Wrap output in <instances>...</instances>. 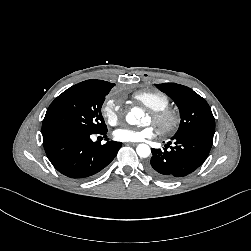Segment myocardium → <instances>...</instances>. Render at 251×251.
<instances>
[{"label": "myocardium", "mask_w": 251, "mask_h": 251, "mask_svg": "<svg viewBox=\"0 0 251 251\" xmlns=\"http://www.w3.org/2000/svg\"><path fill=\"white\" fill-rule=\"evenodd\" d=\"M150 118L158 130L163 134L173 132L178 127L180 122L178 114L168 108L158 111H151Z\"/></svg>", "instance_id": "myocardium-1"}]
</instances>
